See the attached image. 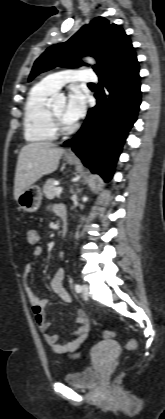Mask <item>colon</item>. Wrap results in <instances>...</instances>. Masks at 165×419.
<instances>
[{
	"mask_svg": "<svg viewBox=\"0 0 165 419\" xmlns=\"http://www.w3.org/2000/svg\"><path fill=\"white\" fill-rule=\"evenodd\" d=\"M32 237L34 238V234H32ZM114 333L112 331L106 330L103 332L104 338H112ZM126 348L129 351H136L138 349V344L134 339H129L126 343Z\"/></svg>",
	"mask_w": 165,
	"mask_h": 419,
	"instance_id": "1",
	"label": "colon"
}]
</instances>
